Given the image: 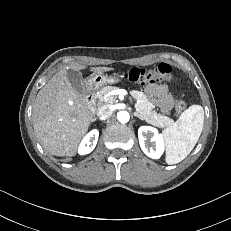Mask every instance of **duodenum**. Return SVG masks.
Listing matches in <instances>:
<instances>
[{"instance_id": "1", "label": "duodenum", "mask_w": 231, "mask_h": 231, "mask_svg": "<svg viewBox=\"0 0 231 231\" xmlns=\"http://www.w3.org/2000/svg\"><path fill=\"white\" fill-rule=\"evenodd\" d=\"M95 86L93 83H88L85 86L84 97L88 106L93 109L95 106Z\"/></svg>"}]
</instances>
